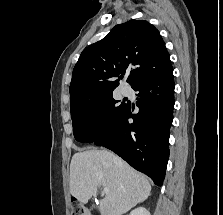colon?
Segmentation results:
<instances>
[{
    "label": "colon",
    "mask_w": 223,
    "mask_h": 215,
    "mask_svg": "<svg viewBox=\"0 0 223 215\" xmlns=\"http://www.w3.org/2000/svg\"><path fill=\"white\" fill-rule=\"evenodd\" d=\"M71 215H92V212L84 204L73 201L71 203Z\"/></svg>",
    "instance_id": "5ec220e1"
}]
</instances>
